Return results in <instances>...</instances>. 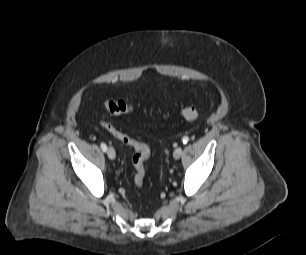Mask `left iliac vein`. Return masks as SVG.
Returning <instances> with one entry per match:
<instances>
[{
    "mask_svg": "<svg viewBox=\"0 0 306 255\" xmlns=\"http://www.w3.org/2000/svg\"><path fill=\"white\" fill-rule=\"evenodd\" d=\"M181 155H182V148L181 147L176 148L173 152L174 159H179Z\"/></svg>",
    "mask_w": 306,
    "mask_h": 255,
    "instance_id": "obj_1",
    "label": "left iliac vein"
}]
</instances>
